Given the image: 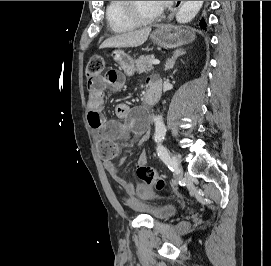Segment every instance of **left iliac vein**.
I'll list each match as a JSON object with an SVG mask.
<instances>
[{"instance_id": "4c4485c4", "label": "left iliac vein", "mask_w": 271, "mask_h": 266, "mask_svg": "<svg viewBox=\"0 0 271 266\" xmlns=\"http://www.w3.org/2000/svg\"><path fill=\"white\" fill-rule=\"evenodd\" d=\"M172 160L175 162L176 164V171H177V174H178V177L177 179L173 182V184H176L182 177V174H183V171H182V168H181V158L178 154H174L173 157H172Z\"/></svg>"}]
</instances>
